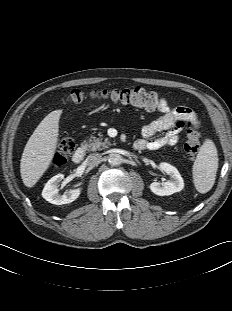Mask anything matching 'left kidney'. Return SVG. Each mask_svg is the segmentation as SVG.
I'll return each instance as SVG.
<instances>
[{
  "mask_svg": "<svg viewBox=\"0 0 232 311\" xmlns=\"http://www.w3.org/2000/svg\"><path fill=\"white\" fill-rule=\"evenodd\" d=\"M162 172L170 176V180L165 182L162 186L158 182L150 184V190L159 196H168L179 192L184 188V181L176 167L169 163L162 162L159 165Z\"/></svg>",
  "mask_w": 232,
  "mask_h": 311,
  "instance_id": "left-kidney-1",
  "label": "left kidney"
}]
</instances>
